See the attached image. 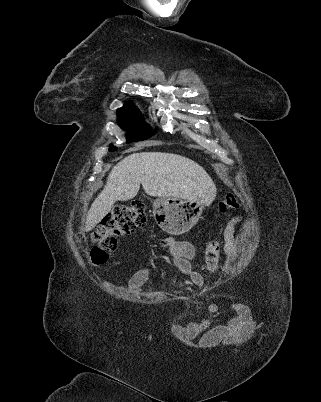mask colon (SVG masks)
Wrapping results in <instances>:
<instances>
[{"mask_svg": "<svg viewBox=\"0 0 321 402\" xmlns=\"http://www.w3.org/2000/svg\"><path fill=\"white\" fill-rule=\"evenodd\" d=\"M238 206L237 198L233 194L227 195L219 201L217 208L220 214L225 215ZM146 212L142 202L118 206L99 224L92 237L90 250L91 261L96 265L107 262L109 256L118 245V237L135 232L146 225ZM221 257L220 244L212 240L205 247L204 259L208 272L217 270Z\"/></svg>", "mask_w": 321, "mask_h": 402, "instance_id": "5ec220e1", "label": "colon"}]
</instances>
